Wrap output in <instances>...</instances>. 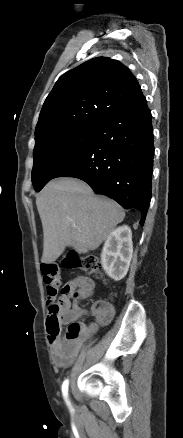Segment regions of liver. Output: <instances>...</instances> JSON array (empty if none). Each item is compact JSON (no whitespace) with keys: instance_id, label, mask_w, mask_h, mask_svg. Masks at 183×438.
Listing matches in <instances>:
<instances>
[{"instance_id":"obj_1","label":"liver","mask_w":183,"mask_h":438,"mask_svg":"<svg viewBox=\"0 0 183 438\" xmlns=\"http://www.w3.org/2000/svg\"><path fill=\"white\" fill-rule=\"evenodd\" d=\"M36 205L43 227V263L54 262L66 246L80 254L97 249L125 217L115 201L95 196L88 184L71 177L50 181Z\"/></svg>"}]
</instances>
